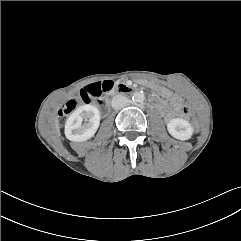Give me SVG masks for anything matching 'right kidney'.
Listing matches in <instances>:
<instances>
[{
  "mask_svg": "<svg viewBox=\"0 0 241 241\" xmlns=\"http://www.w3.org/2000/svg\"><path fill=\"white\" fill-rule=\"evenodd\" d=\"M83 120L86 123L82 124ZM88 121V122H87ZM100 124L99 110L92 105L78 107L67 119L65 136L74 142H83L94 136Z\"/></svg>",
  "mask_w": 241,
  "mask_h": 241,
  "instance_id": "ca27d5eb",
  "label": "right kidney"
}]
</instances>
